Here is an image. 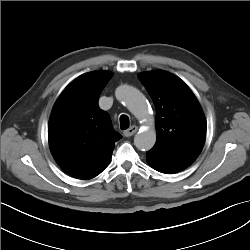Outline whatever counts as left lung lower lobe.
I'll return each mask as SVG.
<instances>
[{"label":"left lung lower lobe","mask_w":250,"mask_h":250,"mask_svg":"<svg viewBox=\"0 0 250 250\" xmlns=\"http://www.w3.org/2000/svg\"><path fill=\"white\" fill-rule=\"evenodd\" d=\"M146 159L147 163L155 170L166 174H174L191 165L196 158L170 156L150 150L146 152Z\"/></svg>","instance_id":"left-lung-lower-lobe-1"}]
</instances>
